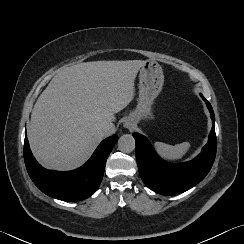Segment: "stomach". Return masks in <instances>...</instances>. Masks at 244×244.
<instances>
[{
  "label": "stomach",
  "instance_id": "stomach-1",
  "mask_svg": "<svg viewBox=\"0 0 244 244\" xmlns=\"http://www.w3.org/2000/svg\"><path fill=\"white\" fill-rule=\"evenodd\" d=\"M164 83L161 65L154 60L145 61L139 71V98L137 108L132 112L135 120L152 117V105L160 94Z\"/></svg>",
  "mask_w": 244,
  "mask_h": 244
}]
</instances>
